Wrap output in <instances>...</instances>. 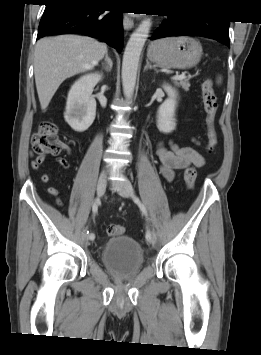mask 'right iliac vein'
Masks as SVG:
<instances>
[{
    "label": "right iliac vein",
    "mask_w": 261,
    "mask_h": 355,
    "mask_svg": "<svg viewBox=\"0 0 261 355\" xmlns=\"http://www.w3.org/2000/svg\"><path fill=\"white\" fill-rule=\"evenodd\" d=\"M106 183H107V180H106V172L103 171L97 181V195L99 197H101L104 192H105V188H106ZM82 239L83 240H86L87 239V235L85 233V230L83 231L82 233Z\"/></svg>",
    "instance_id": "right-iliac-vein-1"
}]
</instances>
